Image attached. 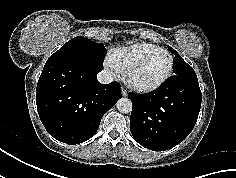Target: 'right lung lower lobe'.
<instances>
[{
	"label": "right lung lower lobe",
	"instance_id": "98d812e1",
	"mask_svg": "<svg viewBox=\"0 0 236 178\" xmlns=\"http://www.w3.org/2000/svg\"><path fill=\"white\" fill-rule=\"evenodd\" d=\"M102 69V61L92 56L47 60L38 80L36 104L52 137L79 144L97 132L103 115L121 98L118 82L104 85L97 81V73Z\"/></svg>",
	"mask_w": 236,
	"mask_h": 178
}]
</instances>
